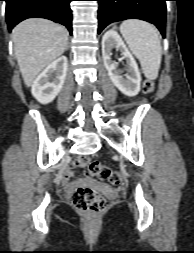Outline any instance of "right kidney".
Masks as SVG:
<instances>
[{"instance_id":"1","label":"right kidney","mask_w":194,"mask_h":253,"mask_svg":"<svg viewBox=\"0 0 194 253\" xmlns=\"http://www.w3.org/2000/svg\"><path fill=\"white\" fill-rule=\"evenodd\" d=\"M67 67V58L61 56L35 79L31 93L40 103L48 104L59 94L66 78Z\"/></svg>"}]
</instances>
